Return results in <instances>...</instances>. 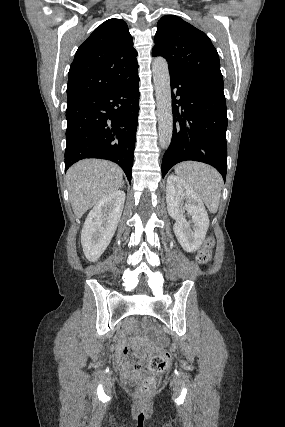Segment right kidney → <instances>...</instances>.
I'll return each instance as SVG.
<instances>
[{"label": "right kidney", "instance_id": "right-kidney-1", "mask_svg": "<svg viewBox=\"0 0 285 427\" xmlns=\"http://www.w3.org/2000/svg\"><path fill=\"white\" fill-rule=\"evenodd\" d=\"M125 193L117 190L98 201L89 212L81 232V244L89 261H96L109 245L120 221Z\"/></svg>", "mask_w": 285, "mask_h": 427}]
</instances>
